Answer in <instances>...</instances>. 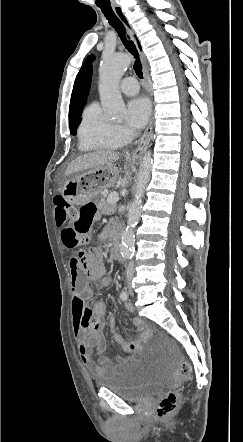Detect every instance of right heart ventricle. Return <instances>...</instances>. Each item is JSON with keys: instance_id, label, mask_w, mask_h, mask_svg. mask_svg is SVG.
<instances>
[{"instance_id": "1", "label": "right heart ventricle", "mask_w": 243, "mask_h": 442, "mask_svg": "<svg viewBox=\"0 0 243 442\" xmlns=\"http://www.w3.org/2000/svg\"><path fill=\"white\" fill-rule=\"evenodd\" d=\"M121 144L114 126L107 121L96 103L88 105L78 128V148L81 151L116 148Z\"/></svg>"}]
</instances>
